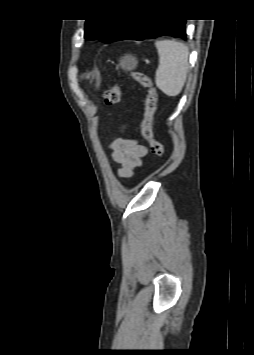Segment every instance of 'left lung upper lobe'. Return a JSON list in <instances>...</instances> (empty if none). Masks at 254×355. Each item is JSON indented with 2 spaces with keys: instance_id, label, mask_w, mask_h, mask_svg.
Here are the masks:
<instances>
[{
  "instance_id": "1",
  "label": "left lung upper lobe",
  "mask_w": 254,
  "mask_h": 355,
  "mask_svg": "<svg viewBox=\"0 0 254 355\" xmlns=\"http://www.w3.org/2000/svg\"><path fill=\"white\" fill-rule=\"evenodd\" d=\"M130 19H97L86 20L85 22V39H99L102 42L110 43L116 41Z\"/></svg>"
}]
</instances>
